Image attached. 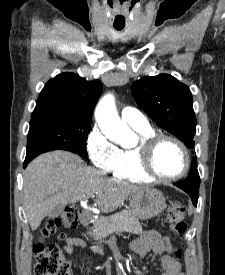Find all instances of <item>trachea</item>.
<instances>
[{
  "label": "trachea",
  "instance_id": "1",
  "mask_svg": "<svg viewBox=\"0 0 225 275\" xmlns=\"http://www.w3.org/2000/svg\"><path fill=\"white\" fill-rule=\"evenodd\" d=\"M116 28V30H122L123 29V27H115Z\"/></svg>",
  "mask_w": 225,
  "mask_h": 275
}]
</instances>
